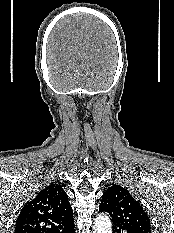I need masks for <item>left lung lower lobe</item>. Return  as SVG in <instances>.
<instances>
[{"label":"left lung lower lobe","mask_w":174,"mask_h":233,"mask_svg":"<svg viewBox=\"0 0 174 233\" xmlns=\"http://www.w3.org/2000/svg\"><path fill=\"white\" fill-rule=\"evenodd\" d=\"M112 233H135V232L134 231H128L127 229H125L124 227H122L120 225L113 224Z\"/></svg>","instance_id":"obj_1"}]
</instances>
